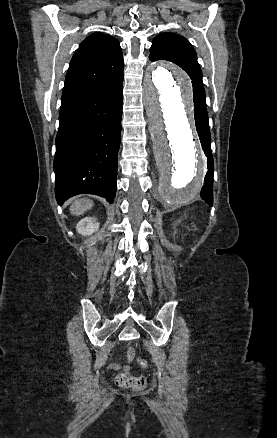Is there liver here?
<instances>
[{"mask_svg": "<svg viewBox=\"0 0 277 438\" xmlns=\"http://www.w3.org/2000/svg\"><path fill=\"white\" fill-rule=\"evenodd\" d=\"M91 208H93V202H91V200L79 198V200H75V202H73L69 210L73 216H82V214H85V212H87V210H91Z\"/></svg>", "mask_w": 277, "mask_h": 438, "instance_id": "obj_1", "label": "liver"}]
</instances>
